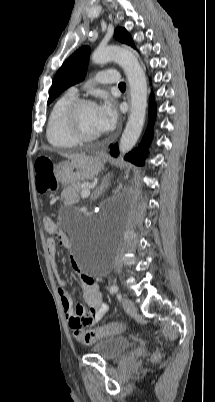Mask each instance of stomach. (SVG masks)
<instances>
[{"mask_svg":"<svg viewBox=\"0 0 215 402\" xmlns=\"http://www.w3.org/2000/svg\"><path fill=\"white\" fill-rule=\"evenodd\" d=\"M105 160L99 157L79 155L55 166L57 180L63 185H73L91 179L104 168Z\"/></svg>","mask_w":215,"mask_h":402,"instance_id":"stomach-1","label":"stomach"}]
</instances>
